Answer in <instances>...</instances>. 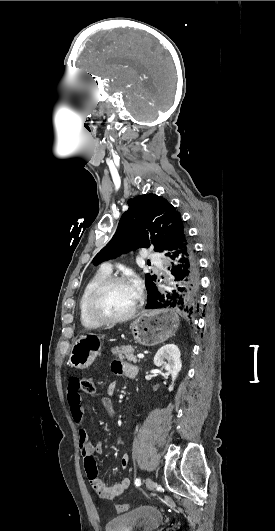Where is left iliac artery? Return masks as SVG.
I'll return each instance as SVG.
<instances>
[{
	"label": "left iliac artery",
	"instance_id": "obj_1",
	"mask_svg": "<svg viewBox=\"0 0 275 531\" xmlns=\"http://www.w3.org/2000/svg\"><path fill=\"white\" fill-rule=\"evenodd\" d=\"M135 485H136L137 487L141 485V479H140V478H137V479L135 480Z\"/></svg>",
	"mask_w": 275,
	"mask_h": 531
}]
</instances>
